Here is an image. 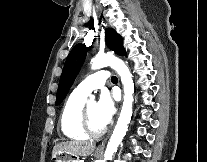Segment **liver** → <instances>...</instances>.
Wrapping results in <instances>:
<instances>
[{"instance_id":"1","label":"liver","mask_w":207,"mask_h":162,"mask_svg":"<svg viewBox=\"0 0 207 162\" xmlns=\"http://www.w3.org/2000/svg\"><path fill=\"white\" fill-rule=\"evenodd\" d=\"M95 144L80 141H64L56 144L52 155L56 153H67L75 157H86L93 153Z\"/></svg>"}]
</instances>
